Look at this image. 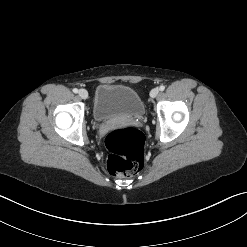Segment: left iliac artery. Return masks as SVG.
<instances>
[{
	"mask_svg": "<svg viewBox=\"0 0 247 247\" xmlns=\"http://www.w3.org/2000/svg\"><path fill=\"white\" fill-rule=\"evenodd\" d=\"M159 90H160V91H164V90H165V86H164V85H161V86L159 87Z\"/></svg>",
	"mask_w": 247,
	"mask_h": 247,
	"instance_id": "left-iliac-artery-1",
	"label": "left iliac artery"
}]
</instances>
